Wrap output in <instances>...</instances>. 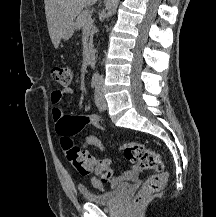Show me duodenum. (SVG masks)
Masks as SVG:
<instances>
[{
	"mask_svg": "<svg viewBox=\"0 0 216 217\" xmlns=\"http://www.w3.org/2000/svg\"><path fill=\"white\" fill-rule=\"evenodd\" d=\"M88 59H89V64L90 66H94L95 65V61H96V54H95V49L94 47H89L88 49Z\"/></svg>",
	"mask_w": 216,
	"mask_h": 217,
	"instance_id": "410a0bca",
	"label": "duodenum"
}]
</instances>
